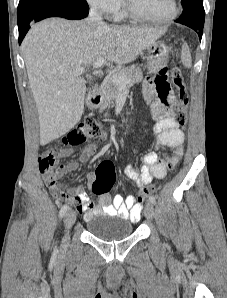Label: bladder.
Listing matches in <instances>:
<instances>
[{
	"label": "bladder",
	"mask_w": 227,
	"mask_h": 298,
	"mask_svg": "<svg viewBox=\"0 0 227 298\" xmlns=\"http://www.w3.org/2000/svg\"><path fill=\"white\" fill-rule=\"evenodd\" d=\"M86 228L91 235L107 242L127 238L134 230L133 224L129 220H107L102 216L89 219Z\"/></svg>",
	"instance_id": "bladder-1"
}]
</instances>
